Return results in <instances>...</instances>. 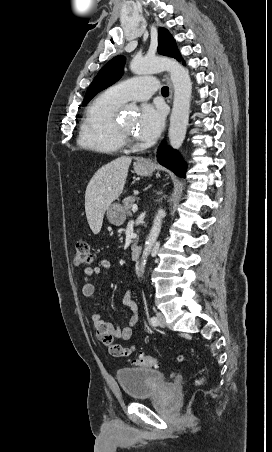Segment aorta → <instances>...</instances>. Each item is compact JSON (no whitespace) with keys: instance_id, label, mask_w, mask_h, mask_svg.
I'll list each match as a JSON object with an SVG mask.
<instances>
[{"instance_id":"762f6f07","label":"aorta","mask_w":272,"mask_h":452,"mask_svg":"<svg viewBox=\"0 0 272 452\" xmlns=\"http://www.w3.org/2000/svg\"><path fill=\"white\" fill-rule=\"evenodd\" d=\"M134 74H151L168 71L174 87L173 109L170 116L169 141L174 149H179L185 139L192 94V83L189 72L178 61L167 57L134 58L130 63ZM165 210L160 208L155 215L152 228L145 242L138 270L144 273L147 258L159 236Z\"/></svg>"}]
</instances>
